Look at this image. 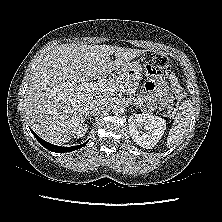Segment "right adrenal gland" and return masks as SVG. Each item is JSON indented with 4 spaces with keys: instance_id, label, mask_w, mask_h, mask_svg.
<instances>
[{
    "instance_id": "obj_1",
    "label": "right adrenal gland",
    "mask_w": 222,
    "mask_h": 222,
    "mask_svg": "<svg viewBox=\"0 0 222 222\" xmlns=\"http://www.w3.org/2000/svg\"><path fill=\"white\" fill-rule=\"evenodd\" d=\"M92 115H96V114H94V113H92V112H88L87 114H86V118H87V116L89 117V116H92Z\"/></svg>"
}]
</instances>
